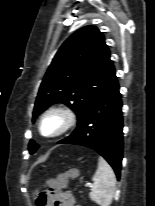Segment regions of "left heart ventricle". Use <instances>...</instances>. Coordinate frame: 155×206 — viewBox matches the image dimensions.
I'll use <instances>...</instances> for the list:
<instances>
[{"label":"left heart ventricle","mask_w":155,"mask_h":206,"mask_svg":"<svg viewBox=\"0 0 155 206\" xmlns=\"http://www.w3.org/2000/svg\"><path fill=\"white\" fill-rule=\"evenodd\" d=\"M60 121L57 117L49 118L44 124V132L46 134L52 133L59 126Z\"/></svg>","instance_id":"left-heart-ventricle-1"}]
</instances>
